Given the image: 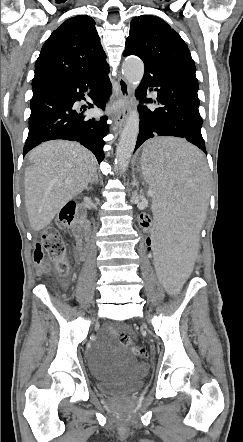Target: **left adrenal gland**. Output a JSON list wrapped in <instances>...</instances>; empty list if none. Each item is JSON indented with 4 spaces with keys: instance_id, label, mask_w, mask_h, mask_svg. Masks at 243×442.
<instances>
[{
    "instance_id": "a2214340",
    "label": "left adrenal gland",
    "mask_w": 243,
    "mask_h": 442,
    "mask_svg": "<svg viewBox=\"0 0 243 442\" xmlns=\"http://www.w3.org/2000/svg\"><path fill=\"white\" fill-rule=\"evenodd\" d=\"M133 186H135V187H137V188H138V186H139V183H138L137 178H136L135 175H133Z\"/></svg>"
}]
</instances>
